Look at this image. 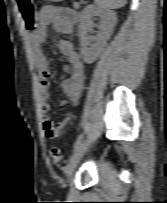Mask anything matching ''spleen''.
<instances>
[{"mask_svg":"<svg viewBox=\"0 0 167 203\" xmlns=\"http://www.w3.org/2000/svg\"><path fill=\"white\" fill-rule=\"evenodd\" d=\"M95 3L104 9H118L126 4V0H95Z\"/></svg>","mask_w":167,"mask_h":203,"instance_id":"1","label":"spleen"}]
</instances>
